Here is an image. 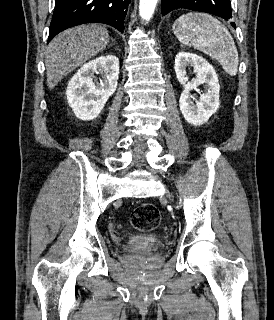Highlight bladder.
<instances>
[{
    "label": "bladder",
    "mask_w": 274,
    "mask_h": 320,
    "mask_svg": "<svg viewBox=\"0 0 274 320\" xmlns=\"http://www.w3.org/2000/svg\"><path fill=\"white\" fill-rule=\"evenodd\" d=\"M155 238L148 235H131L126 241V246L132 250L148 248Z\"/></svg>",
    "instance_id": "obj_1"
}]
</instances>
